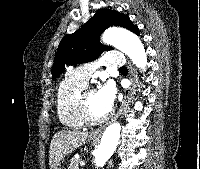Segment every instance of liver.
<instances>
[{"label":"liver","instance_id":"liver-1","mask_svg":"<svg viewBox=\"0 0 200 169\" xmlns=\"http://www.w3.org/2000/svg\"><path fill=\"white\" fill-rule=\"evenodd\" d=\"M88 137L87 132L58 131L54 134L49 149L50 169L61 164L62 159L80 147Z\"/></svg>","mask_w":200,"mask_h":169}]
</instances>
